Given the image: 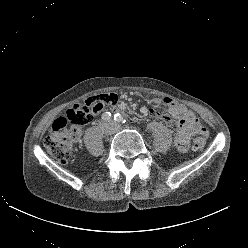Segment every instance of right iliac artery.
I'll use <instances>...</instances> for the list:
<instances>
[{
	"instance_id": "right-iliac-artery-1",
	"label": "right iliac artery",
	"mask_w": 248,
	"mask_h": 248,
	"mask_svg": "<svg viewBox=\"0 0 248 248\" xmlns=\"http://www.w3.org/2000/svg\"><path fill=\"white\" fill-rule=\"evenodd\" d=\"M102 119L104 121H109L111 119V113L110 112H105L102 114Z\"/></svg>"
}]
</instances>
